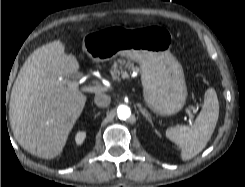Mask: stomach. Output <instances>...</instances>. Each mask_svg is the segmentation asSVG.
<instances>
[{"instance_id":"stomach-1","label":"stomach","mask_w":245,"mask_h":187,"mask_svg":"<svg viewBox=\"0 0 245 187\" xmlns=\"http://www.w3.org/2000/svg\"><path fill=\"white\" fill-rule=\"evenodd\" d=\"M171 40V33L160 26H113L87 34L83 50L94 61L122 56L138 62L147 106L158 115L170 116L183 108L187 97L182 66L170 52Z\"/></svg>"}]
</instances>
